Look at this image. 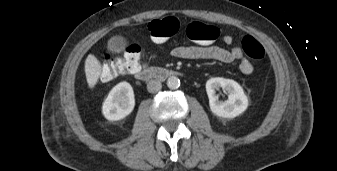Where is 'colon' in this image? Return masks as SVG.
Instances as JSON below:
<instances>
[{"label":"colon","instance_id":"5ec220e1","mask_svg":"<svg viewBox=\"0 0 337 171\" xmlns=\"http://www.w3.org/2000/svg\"><path fill=\"white\" fill-rule=\"evenodd\" d=\"M149 40L154 45H162L168 38L179 31V22L174 17L152 20L148 25ZM190 40L199 44H211L219 36V29L214 25L198 21L191 22L186 30ZM245 54L254 59L262 60L265 51L261 43L251 35H246L241 41ZM142 50L138 45H131L125 51L116 55H106L103 59L99 80L106 82L120 76L131 75L141 67Z\"/></svg>","mask_w":337,"mask_h":171}]
</instances>
